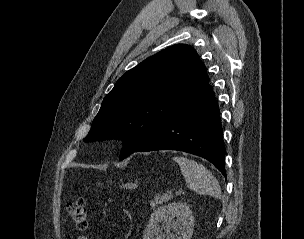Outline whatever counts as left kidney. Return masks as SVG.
I'll list each match as a JSON object with an SVG mask.
<instances>
[{
	"label": "left kidney",
	"instance_id": "obj_1",
	"mask_svg": "<svg viewBox=\"0 0 304 239\" xmlns=\"http://www.w3.org/2000/svg\"><path fill=\"white\" fill-rule=\"evenodd\" d=\"M176 218V219H175ZM162 223L167 229H173L176 236L171 239H191L194 228V216L185 203H171L158 208L151 214L144 230L143 239H163L158 224Z\"/></svg>",
	"mask_w": 304,
	"mask_h": 239
}]
</instances>
